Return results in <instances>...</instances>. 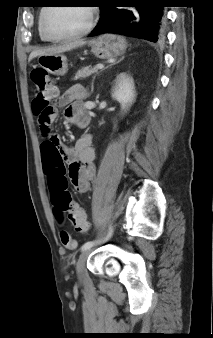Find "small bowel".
<instances>
[{
	"mask_svg": "<svg viewBox=\"0 0 213 338\" xmlns=\"http://www.w3.org/2000/svg\"><path fill=\"white\" fill-rule=\"evenodd\" d=\"M85 97L86 92L81 85L70 87L58 97L56 105L65 107L64 117L68 122L82 126L87 124V119L79 111L80 104ZM91 144L92 138L84 136L76 142L74 147L61 144L54 147L50 153H46L42 148L43 171L51 192H54L57 184L67 180L71 182L77 192L86 193L88 191L90 180L95 174L94 151ZM55 212L60 216V213L56 210Z\"/></svg>",
	"mask_w": 213,
	"mask_h": 338,
	"instance_id": "small-bowel-1",
	"label": "small bowel"
}]
</instances>
